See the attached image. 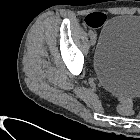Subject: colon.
I'll list each match as a JSON object with an SVG mask.
<instances>
[{
	"label": "colon",
	"mask_w": 140,
	"mask_h": 140,
	"mask_svg": "<svg viewBox=\"0 0 140 140\" xmlns=\"http://www.w3.org/2000/svg\"><path fill=\"white\" fill-rule=\"evenodd\" d=\"M113 105L122 115H131L133 113V103L130 99L114 97Z\"/></svg>",
	"instance_id": "colon-1"
}]
</instances>
